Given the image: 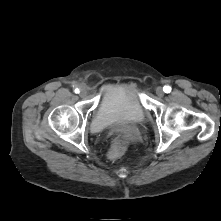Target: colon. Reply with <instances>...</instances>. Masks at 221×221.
<instances>
[{
    "mask_svg": "<svg viewBox=\"0 0 221 221\" xmlns=\"http://www.w3.org/2000/svg\"><path fill=\"white\" fill-rule=\"evenodd\" d=\"M125 149H126L125 141L122 138L117 137L114 139L111 145V148L109 150V157L111 159H116L124 153Z\"/></svg>",
    "mask_w": 221,
    "mask_h": 221,
    "instance_id": "colon-1",
    "label": "colon"
}]
</instances>
